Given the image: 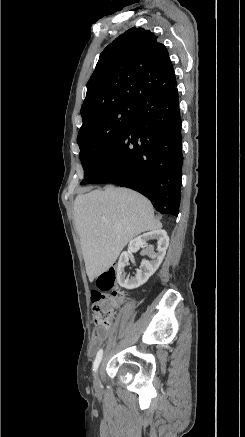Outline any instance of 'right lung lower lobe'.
<instances>
[{
    "mask_svg": "<svg viewBox=\"0 0 245 437\" xmlns=\"http://www.w3.org/2000/svg\"><path fill=\"white\" fill-rule=\"evenodd\" d=\"M183 164L178 90L140 101L122 138L85 179L146 196L162 214L178 216Z\"/></svg>",
    "mask_w": 245,
    "mask_h": 437,
    "instance_id": "98d812e1",
    "label": "right lung lower lobe"
}]
</instances>
